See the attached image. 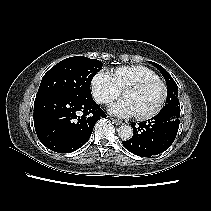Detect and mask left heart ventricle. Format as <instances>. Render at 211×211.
Returning <instances> with one entry per match:
<instances>
[{"label": "left heart ventricle", "mask_w": 211, "mask_h": 211, "mask_svg": "<svg viewBox=\"0 0 211 211\" xmlns=\"http://www.w3.org/2000/svg\"><path fill=\"white\" fill-rule=\"evenodd\" d=\"M162 97V88L159 84H152L142 90H128L124 98L130 100L136 114H147L154 110Z\"/></svg>", "instance_id": "obj_1"}]
</instances>
